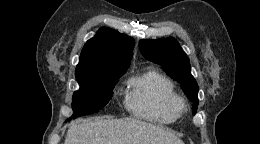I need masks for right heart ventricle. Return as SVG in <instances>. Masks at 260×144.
<instances>
[{
    "instance_id": "right-heart-ventricle-1",
    "label": "right heart ventricle",
    "mask_w": 260,
    "mask_h": 144,
    "mask_svg": "<svg viewBox=\"0 0 260 144\" xmlns=\"http://www.w3.org/2000/svg\"><path fill=\"white\" fill-rule=\"evenodd\" d=\"M181 100L173 82L154 68L129 78L125 104L136 117L162 125L177 121Z\"/></svg>"
}]
</instances>
